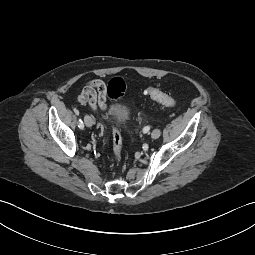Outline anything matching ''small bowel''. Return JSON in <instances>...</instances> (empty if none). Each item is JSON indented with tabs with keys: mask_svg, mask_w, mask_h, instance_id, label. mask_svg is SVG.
I'll use <instances>...</instances> for the list:
<instances>
[{
	"mask_svg": "<svg viewBox=\"0 0 255 255\" xmlns=\"http://www.w3.org/2000/svg\"><path fill=\"white\" fill-rule=\"evenodd\" d=\"M77 100L82 105L89 104L93 110H105L107 108V86L105 82L100 79L90 81L83 88Z\"/></svg>",
	"mask_w": 255,
	"mask_h": 255,
	"instance_id": "obj_1",
	"label": "small bowel"
}]
</instances>
